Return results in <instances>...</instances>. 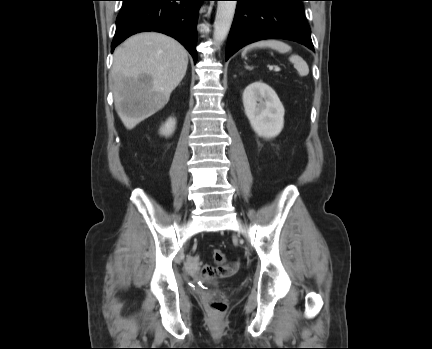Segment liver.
<instances>
[{"label":"liver","mask_w":432,"mask_h":349,"mask_svg":"<svg viewBox=\"0 0 432 349\" xmlns=\"http://www.w3.org/2000/svg\"><path fill=\"white\" fill-rule=\"evenodd\" d=\"M188 54L161 33L133 35L118 46L111 70L115 109L127 129L162 109L186 74ZM145 76L146 80H141ZM130 103L131 111L123 108Z\"/></svg>","instance_id":"1"}]
</instances>
